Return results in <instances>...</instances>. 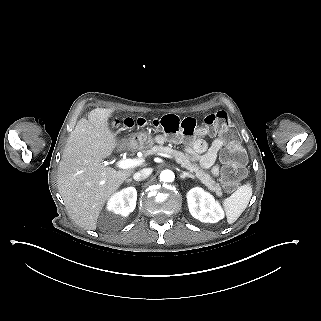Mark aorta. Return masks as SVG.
<instances>
[{"instance_id": "obj_1", "label": "aorta", "mask_w": 321, "mask_h": 321, "mask_svg": "<svg viewBox=\"0 0 321 321\" xmlns=\"http://www.w3.org/2000/svg\"><path fill=\"white\" fill-rule=\"evenodd\" d=\"M174 178L175 175L171 170H164L160 173V180L163 182H173Z\"/></svg>"}]
</instances>
